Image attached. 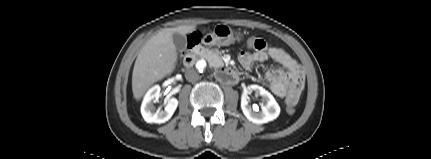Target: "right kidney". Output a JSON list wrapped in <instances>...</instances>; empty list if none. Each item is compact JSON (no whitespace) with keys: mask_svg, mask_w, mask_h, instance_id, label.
I'll list each match as a JSON object with an SVG mask.
<instances>
[{"mask_svg":"<svg viewBox=\"0 0 431 159\" xmlns=\"http://www.w3.org/2000/svg\"><path fill=\"white\" fill-rule=\"evenodd\" d=\"M160 86L155 85L148 90L146 93L142 105L141 114L147 123H164L168 121L174 114L177 106L178 100L176 98H170L165 100L164 110H156L154 103L159 100L160 97Z\"/></svg>","mask_w":431,"mask_h":159,"instance_id":"right-kidney-1","label":"right kidney"}]
</instances>
